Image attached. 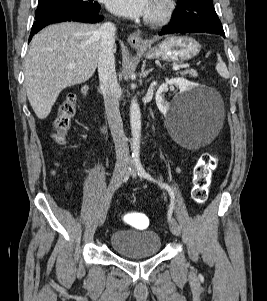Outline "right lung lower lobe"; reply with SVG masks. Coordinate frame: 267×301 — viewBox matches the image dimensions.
<instances>
[{
  "label": "right lung lower lobe",
  "mask_w": 267,
  "mask_h": 301,
  "mask_svg": "<svg viewBox=\"0 0 267 301\" xmlns=\"http://www.w3.org/2000/svg\"><path fill=\"white\" fill-rule=\"evenodd\" d=\"M100 10V5L96 2V4L87 9V10H78V11H71V10H62L56 11L49 14H44L36 18V21L32 27V34L31 37L41 30L43 27L57 22H65V21H80V22H87V23H95L99 22L103 19V16L98 15Z\"/></svg>",
  "instance_id": "right-lung-lower-lobe-1"
}]
</instances>
